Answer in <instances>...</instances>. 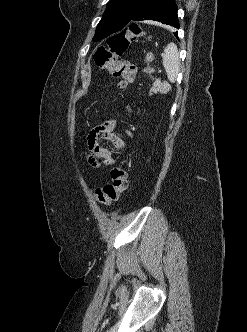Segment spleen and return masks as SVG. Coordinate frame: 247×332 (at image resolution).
<instances>
[{
  "label": "spleen",
  "mask_w": 247,
  "mask_h": 332,
  "mask_svg": "<svg viewBox=\"0 0 247 332\" xmlns=\"http://www.w3.org/2000/svg\"><path fill=\"white\" fill-rule=\"evenodd\" d=\"M163 66L166 70L167 77L171 83L176 81L177 75L179 73V54L177 46L174 43H169L162 54ZM160 91L163 88H159Z\"/></svg>",
  "instance_id": "spleen-1"
}]
</instances>
